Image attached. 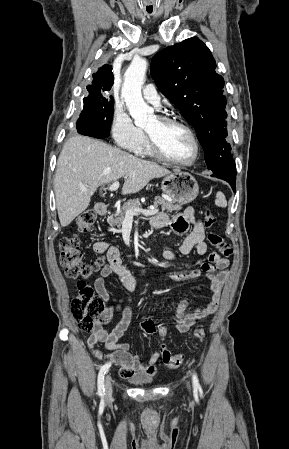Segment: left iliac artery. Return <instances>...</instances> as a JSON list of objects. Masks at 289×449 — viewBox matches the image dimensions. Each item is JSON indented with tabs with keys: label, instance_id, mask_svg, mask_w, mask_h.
<instances>
[{
	"label": "left iliac artery",
	"instance_id": "left-iliac-artery-1",
	"mask_svg": "<svg viewBox=\"0 0 289 449\" xmlns=\"http://www.w3.org/2000/svg\"><path fill=\"white\" fill-rule=\"evenodd\" d=\"M192 381H193L194 390L195 391L200 390V388H201L200 383H199L198 377L195 373H193V375H192Z\"/></svg>",
	"mask_w": 289,
	"mask_h": 449
}]
</instances>
